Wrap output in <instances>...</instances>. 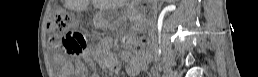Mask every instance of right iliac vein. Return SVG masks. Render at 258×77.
Here are the masks:
<instances>
[{"label": "right iliac vein", "instance_id": "1", "mask_svg": "<svg viewBox=\"0 0 258 77\" xmlns=\"http://www.w3.org/2000/svg\"><path fill=\"white\" fill-rule=\"evenodd\" d=\"M166 73L168 74V77H173V72L171 69H166Z\"/></svg>", "mask_w": 258, "mask_h": 77}]
</instances>
